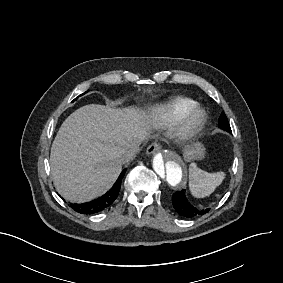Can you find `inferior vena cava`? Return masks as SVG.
<instances>
[{
	"label": "inferior vena cava",
	"instance_id": "1",
	"mask_svg": "<svg viewBox=\"0 0 283 283\" xmlns=\"http://www.w3.org/2000/svg\"><path fill=\"white\" fill-rule=\"evenodd\" d=\"M140 147L138 143H133L127 146L121 154H119L118 158L122 163H127L131 161L136 154L139 152Z\"/></svg>",
	"mask_w": 283,
	"mask_h": 283
}]
</instances>
